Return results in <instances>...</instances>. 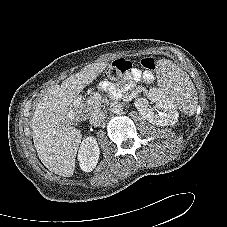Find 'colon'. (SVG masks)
<instances>
[{
    "instance_id": "1",
    "label": "colon",
    "mask_w": 227,
    "mask_h": 227,
    "mask_svg": "<svg viewBox=\"0 0 227 227\" xmlns=\"http://www.w3.org/2000/svg\"><path fill=\"white\" fill-rule=\"evenodd\" d=\"M140 64L144 70V73H151L156 68V62L152 57L143 58ZM131 69V63L125 59H119L113 62L107 69V75L110 78H118L120 75L126 73Z\"/></svg>"
}]
</instances>
